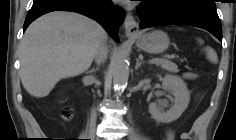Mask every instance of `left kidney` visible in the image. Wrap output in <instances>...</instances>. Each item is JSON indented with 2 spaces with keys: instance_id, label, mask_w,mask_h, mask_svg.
Returning <instances> with one entry per match:
<instances>
[{
  "instance_id": "1",
  "label": "left kidney",
  "mask_w": 236,
  "mask_h": 140,
  "mask_svg": "<svg viewBox=\"0 0 236 140\" xmlns=\"http://www.w3.org/2000/svg\"><path fill=\"white\" fill-rule=\"evenodd\" d=\"M162 86L163 89L171 91L174 95V104L165 112L157 103H150L149 111L155 120L162 123H170L178 119L187 108L190 101V93L183 79L175 75H166Z\"/></svg>"
}]
</instances>
